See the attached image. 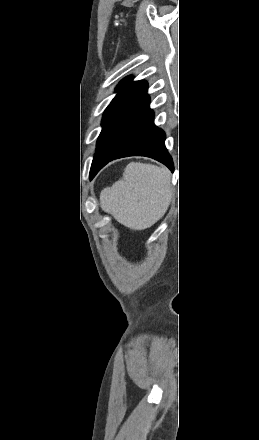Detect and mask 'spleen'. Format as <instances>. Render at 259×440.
Segmentation results:
<instances>
[{
  "mask_svg": "<svg viewBox=\"0 0 259 440\" xmlns=\"http://www.w3.org/2000/svg\"><path fill=\"white\" fill-rule=\"evenodd\" d=\"M171 175L165 167L131 162L121 180L103 189L100 204L122 225L143 230L167 211L173 197Z\"/></svg>",
  "mask_w": 259,
  "mask_h": 440,
  "instance_id": "1",
  "label": "spleen"
}]
</instances>
